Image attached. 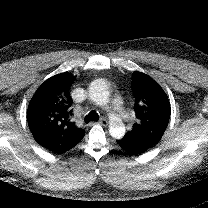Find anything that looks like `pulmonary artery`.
Masks as SVG:
<instances>
[{
	"label": "pulmonary artery",
	"mask_w": 208,
	"mask_h": 208,
	"mask_svg": "<svg viewBox=\"0 0 208 208\" xmlns=\"http://www.w3.org/2000/svg\"><path fill=\"white\" fill-rule=\"evenodd\" d=\"M109 107L119 120H130L131 116L124 108L123 100L119 96H114L109 102Z\"/></svg>",
	"instance_id": "e3ab8cb5"
}]
</instances>
